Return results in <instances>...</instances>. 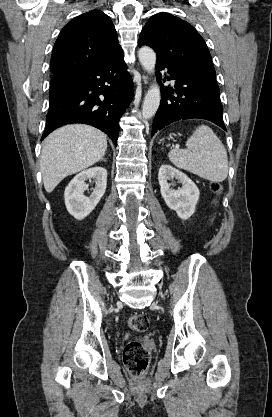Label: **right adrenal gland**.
<instances>
[{"instance_id":"obj_1","label":"right adrenal gland","mask_w":272,"mask_h":417,"mask_svg":"<svg viewBox=\"0 0 272 417\" xmlns=\"http://www.w3.org/2000/svg\"><path fill=\"white\" fill-rule=\"evenodd\" d=\"M101 161H104V162H106V160H105L104 158H102V159H101Z\"/></svg>"}]
</instances>
